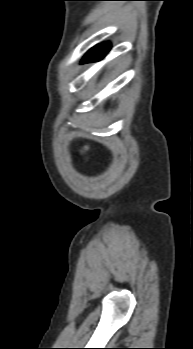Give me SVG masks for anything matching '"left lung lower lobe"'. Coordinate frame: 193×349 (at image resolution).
Returning <instances> with one entry per match:
<instances>
[{
	"label": "left lung lower lobe",
	"mask_w": 193,
	"mask_h": 349,
	"mask_svg": "<svg viewBox=\"0 0 193 349\" xmlns=\"http://www.w3.org/2000/svg\"><path fill=\"white\" fill-rule=\"evenodd\" d=\"M109 50L110 43H104L94 47L86 53L81 63L100 60L109 52Z\"/></svg>",
	"instance_id": "left-lung-lower-lobe-1"
}]
</instances>
